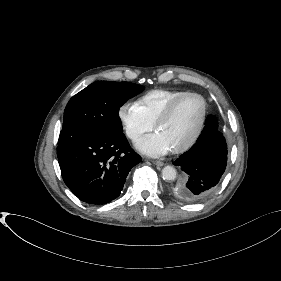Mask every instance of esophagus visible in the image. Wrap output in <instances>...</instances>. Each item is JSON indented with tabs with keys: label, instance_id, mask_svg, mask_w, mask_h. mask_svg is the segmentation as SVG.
I'll use <instances>...</instances> for the list:
<instances>
[{
	"label": "esophagus",
	"instance_id": "34e87169",
	"mask_svg": "<svg viewBox=\"0 0 281 281\" xmlns=\"http://www.w3.org/2000/svg\"><path fill=\"white\" fill-rule=\"evenodd\" d=\"M152 163L156 166H159V167L164 165V163L162 161H159V160H154V161H152Z\"/></svg>",
	"mask_w": 281,
	"mask_h": 281
}]
</instances>
